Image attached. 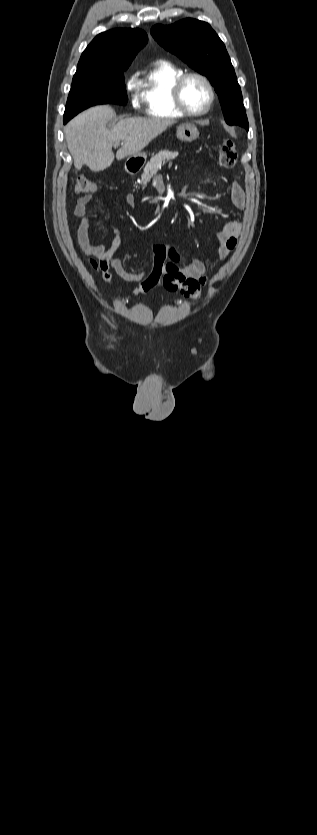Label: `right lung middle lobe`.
Returning a JSON list of instances; mask_svg holds the SVG:
<instances>
[{
  "label": "right lung middle lobe",
  "mask_w": 317,
  "mask_h": 835,
  "mask_svg": "<svg viewBox=\"0 0 317 835\" xmlns=\"http://www.w3.org/2000/svg\"><path fill=\"white\" fill-rule=\"evenodd\" d=\"M124 71H77L73 77L63 122L67 123L76 114L94 105H125L127 93Z\"/></svg>",
  "instance_id": "obj_1"
}]
</instances>
